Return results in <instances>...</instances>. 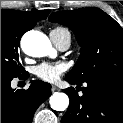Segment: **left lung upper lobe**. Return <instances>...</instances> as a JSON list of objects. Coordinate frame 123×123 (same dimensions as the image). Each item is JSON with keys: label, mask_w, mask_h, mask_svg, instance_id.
<instances>
[{"label": "left lung upper lobe", "mask_w": 123, "mask_h": 123, "mask_svg": "<svg viewBox=\"0 0 123 123\" xmlns=\"http://www.w3.org/2000/svg\"><path fill=\"white\" fill-rule=\"evenodd\" d=\"M49 21L69 27L81 54L66 75L83 82L99 76L123 75V29L104 11L82 8L52 13Z\"/></svg>", "instance_id": "left-lung-upper-lobe-1"}]
</instances>
